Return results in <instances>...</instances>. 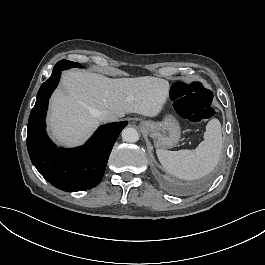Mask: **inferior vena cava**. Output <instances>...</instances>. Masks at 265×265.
Instances as JSON below:
<instances>
[{"label":"inferior vena cava","instance_id":"602c4592","mask_svg":"<svg viewBox=\"0 0 265 265\" xmlns=\"http://www.w3.org/2000/svg\"><path fill=\"white\" fill-rule=\"evenodd\" d=\"M98 118L101 121H115L117 119L116 116L107 111H101L98 115Z\"/></svg>","mask_w":265,"mask_h":265}]
</instances>
